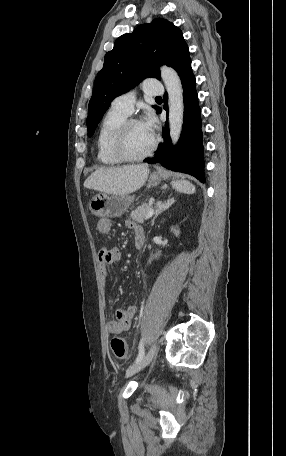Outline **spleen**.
I'll return each instance as SVG.
<instances>
[{"instance_id":"1","label":"spleen","mask_w":286,"mask_h":456,"mask_svg":"<svg viewBox=\"0 0 286 456\" xmlns=\"http://www.w3.org/2000/svg\"><path fill=\"white\" fill-rule=\"evenodd\" d=\"M173 188L180 193L193 194L195 192V186L185 180L175 182Z\"/></svg>"}]
</instances>
